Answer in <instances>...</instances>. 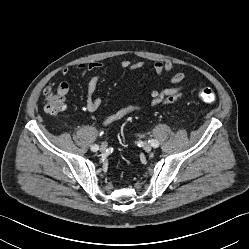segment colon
I'll use <instances>...</instances> for the list:
<instances>
[{"instance_id": "obj_1", "label": "colon", "mask_w": 249, "mask_h": 249, "mask_svg": "<svg viewBox=\"0 0 249 249\" xmlns=\"http://www.w3.org/2000/svg\"><path fill=\"white\" fill-rule=\"evenodd\" d=\"M198 95L205 103H214L216 101V95L214 91L207 87L199 88ZM65 109L64 99L51 91L46 93L45 111L48 114L55 115L62 112Z\"/></svg>"}]
</instances>
